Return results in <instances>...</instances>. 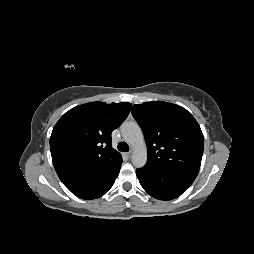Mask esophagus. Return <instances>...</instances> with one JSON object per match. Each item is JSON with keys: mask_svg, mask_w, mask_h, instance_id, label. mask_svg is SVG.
<instances>
[{"mask_svg": "<svg viewBox=\"0 0 254 254\" xmlns=\"http://www.w3.org/2000/svg\"><path fill=\"white\" fill-rule=\"evenodd\" d=\"M127 156H128V158H131V156H132V151H129V152L127 153Z\"/></svg>", "mask_w": 254, "mask_h": 254, "instance_id": "1", "label": "esophagus"}]
</instances>
